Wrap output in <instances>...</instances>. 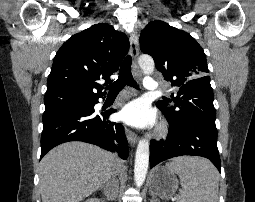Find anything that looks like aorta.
Returning a JSON list of instances; mask_svg holds the SVG:
<instances>
[{
	"mask_svg": "<svg viewBox=\"0 0 255 202\" xmlns=\"http://www.w3.org/2000/svg\"><path fill=\"white\" fill-rule=\"evenodd\" d=\"M138 64L146 75L151 74L154 71L155 63L152 57L148 55H142L138 58ZM149 143L145 139H141L138 142L135 164H134V180L137 187L143 185L149 165Z\"/></svg>",
	"mask_w": 255,
	"mask_h": 202,
	"instance_id": "aorta-1",
	"label": "aorta"
}]
</instances>
